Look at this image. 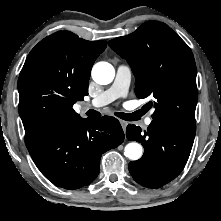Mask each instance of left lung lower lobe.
Wrapping results in <instances>:
<instances>
[{
  "label": "left lung lower lobe",
  "instance_id": "1",
  "mask_svg": "<svg viewBox=\"0 0 221 221\" xmlns=\"http://www.w3.org/2000/svg\"><path fill=\"white\" fill-rule=\"evenodd\" d=\"M196 131L153 120L146 131L128 125L126 136L140 142L143 156L129 163L134 180L148 188H159L176 178L185 167Z\"/></svg>",
  "mask_w": 221,
  "mask_h": 221
}]
</instances>
